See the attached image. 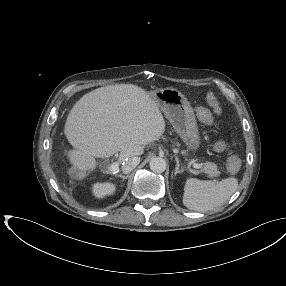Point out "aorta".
<instances>
[{"instance_id":"1","label":"aorta","mask_w":286,"mask_h":286,"mask_svg":"<svg viewBox=\"0 0 286 286\" xmlns=\"http://www.w3.org/2000/svg\"><path fill=\"white\" fill-rule=\"evenodd\" d=\"M150 169L155 173H163L166 170V161L161 157H154L149 163Z\"/></svg>"}]
</instances>
